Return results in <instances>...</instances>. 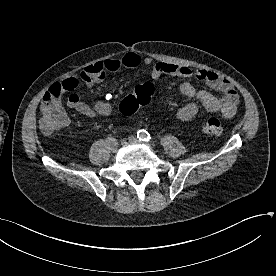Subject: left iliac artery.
<instances>
[{"label":"left iliac artery","instance_id":"44dca946","mask_svg":"<svg viewBox=\"0 0 276 276\" xmlns=\"http://www.w3.org/2000/svg\"><path fill=\"white\" fill-rule=\"evenodd\" d=\"M137 138L139 140L147 141V142L151 140V136L146 130H139L137 132Z\"/></svg>","mask_w":276,"mask_h":276}]
</instances>
